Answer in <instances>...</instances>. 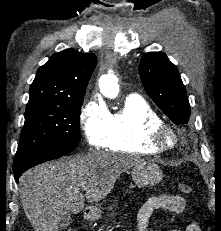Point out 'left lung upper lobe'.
Segmentation results:
<instances>
[{
  "label": "left lung upper lobe",
  "mask_w": 221,
  "mask_h": 231,
  "mask_svg": "<svg viewBox=\"0 0 221 231\" xmlns=\"http://www.w3.org/2000/svg\"><path fill=\"white\" fill-rule=\"evenodd\" d=\"M139 73L147 94L176 124H186L190 104L176 66L163 52L145 53L141 57Z\"/></svg>",
  "instance_id": "1"
}]
</instances>
